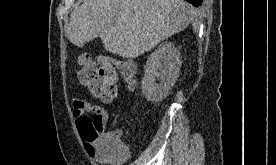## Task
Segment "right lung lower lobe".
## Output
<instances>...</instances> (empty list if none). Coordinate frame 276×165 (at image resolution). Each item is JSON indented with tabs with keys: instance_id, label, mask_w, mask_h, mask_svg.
I'll use <instances>...</instances> for the list:
<instances>
[{
	"instance_id": "1",
	"label": "right lung lower lobe",
	"mask_w": 276,
	"mask_h": 165,
	"mask_svg": "<svg viewBox=\"0 0 276 165\" xmlns=\"http://www.w3.org/2000/svg\"><path fill=\"white\" fill-rule=\"evenodd\" d=\"M186 1L194 5L195 7H198L202 4V0H186Z\"/></svg>"
}]
</instances>
